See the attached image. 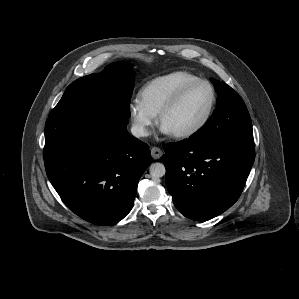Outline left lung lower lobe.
Returning <instances> with one entry per match:
<instances>
[{"instance_id":"left-lung-lower-lobe-1","label":"left lung lower lobe","mask_w":299,"mask_h":299,"mask_svg":"<svg viewBox=\"0 0 299 299\" xmlns=\"http://www.w3.org/2000/svg\"><path fill=\"white\" fill-rule=\"evenodd\" d=\"M164 150L166 185L174 205L198 221L223 213L238 200L255 158L253 140L189 138L166 144Z\"/></svg>"}]
</instances>
